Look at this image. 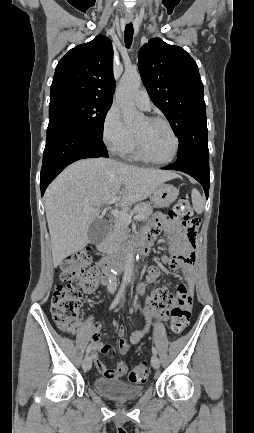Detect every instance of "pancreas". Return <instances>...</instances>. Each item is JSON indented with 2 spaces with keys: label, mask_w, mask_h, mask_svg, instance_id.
Instances as JSON below:
<instances>
[{
  "label": "pancreas",
  "mask_w": 254,
  "mask_h": 433,
  "mask_svg": "<svg viewBox=\"0 0 254 433\" xmlns=\"http://www.w3.org/2000/svg\"><path fill=\"white\" fill-rule=\"evenodd\" d=\"M152 213L153 209L149 203H139L132 211H130V215H142V220H147ZM127 232L128 223L115 219L111 234L109 235V242L113 245H120L126 238Z\"/></svg>",
  "instance_id": "1"
}]
</instances>
